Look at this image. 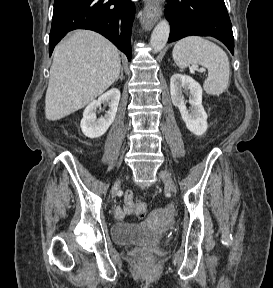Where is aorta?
Here are the masks:
<instances>
[{"label":"aorta","mask_w":273,"mask_h":288,"mask_svg":"<svg viewBox=\"0 0 273 288\" xmlns=\"http://www.w3.org/2000/svg\"><path fill=\"white\" fill-rule=\"evenodd\" d=\"M169 33L170 25L168 21L161 20L154 28L150 39L151 47L155 53L161 51L165 47Z\"/></svg>","instance_id":"1"}]
</instances>
